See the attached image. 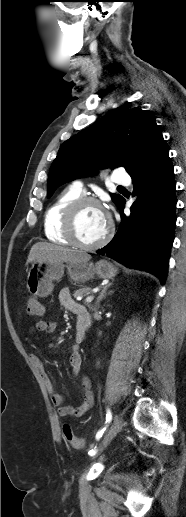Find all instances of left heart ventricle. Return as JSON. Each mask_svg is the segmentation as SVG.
<instances>
[{
  "label": "left heart ventricle",
  "mask_w": 186,
  "mask_h": 517,
  "mask_svg": "<svg viewBox=\"0 0 186 517\" xmlns=\"http://www.w3.org/2000/svg\"><path fill=\"white\" fill-rule=\"evenodd\" d=\"M109 220L102 208L95 205L85 206L77 219V233L85 243H94L107 231Z\"/></svg>",
  "instance_id": "b2bd125f"
}]
</instances>
